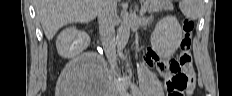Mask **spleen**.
Masks as SVG:
<instances>
[{
  "mask_svg": "<svg viewBox=\"0 0 232 96\" xmlns=\"http://www.w3.org/2000/svg\"><path fill=\"white\" fill-rule=\"evenodd\" d=\"M179 8L183 15L191 20H197L203 9L202 0H180Z\"/></svg>",
  "mask_w": 232,
  "mask_h": 96,
  "instance_id": "obj_1",
  "label": "spleen"
}]
</instances>
